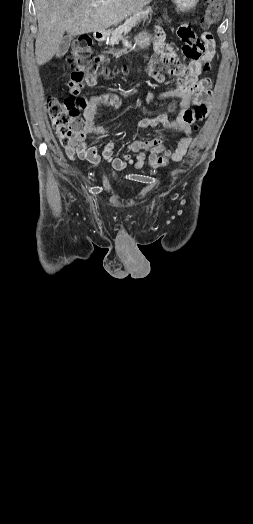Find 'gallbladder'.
<instances>
[{"instance_id": "gallbladder-1", "label": "gallbladder", "mask_w": 253, "mask_h": 524, "mask_svg": "<svg viewBox=\"0 0 253 524\" xmlns=\"http://www.w3.org/2000/svg\"><path fill=\"white\" fill-rule=\"evenodd\" d=\"M71 40H72V36H71V35H66V36L63 38V40H62V42H61V44H60V46H59V48H58V51H57V53H56V57H57V58H60V57H62V56L65 55V53H66V52L68 51V49H69V46H70Z\"/></svg>"}]
</instances>
